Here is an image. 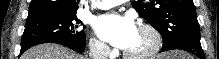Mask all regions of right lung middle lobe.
I'll list each match as a JSON object with an SVG mask.
<instances>
[{"instance_id": "dd1d6c3e", "label": "right lung middle lobe", "mask_w": 219, "mask_h": 59, "mask_svg": "<svg viewBox=\"0 0 219 59\" xmlns=\"http://www.w3.org/2000/svg\"><path fill=\"white\" fill-rule=\"evenodd\" d=\"M83 23L76 13L35 11L28 14L21 50L42 43L69 41L86 45ZM85 27V26H84Z\"/></svg>"}]
</instances>
